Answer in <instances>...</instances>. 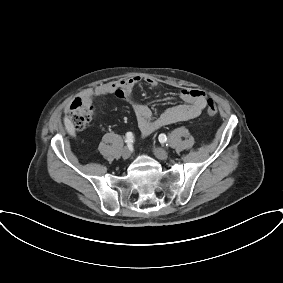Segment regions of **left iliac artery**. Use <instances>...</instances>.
<instances>
[{"label":"left iliac artery","mask_w":283,"mask_h":283,"mask_svg":"<svg viewBox=\"0 0 283 283\" xmlns=\"http://www.w3.org/2000/svg\"><path fill=\"white\" fill-rule=\"evenodd\" d=\"M158 139L161 143H165L167 141V137L165 134H160Z\"/></svg>","instance_id":"obj_1"}]
</instances>
